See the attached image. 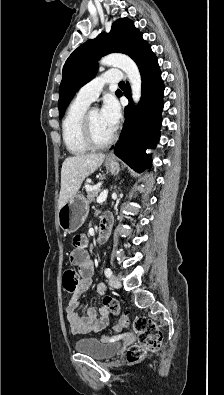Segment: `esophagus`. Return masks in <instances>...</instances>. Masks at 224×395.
<instances>
[{
  "mask_svg": "<svg viewBox=\"0 0 224 395\" xmlns=\"http://www.w3.org/2000/svg\"><path fill=\"white\" fill-rule=\"evenodd\" d=\"M113 158H114V156L111 153L107 156V159H113Z\"/></svg>",
  "mask_w": 224,
  "mask_h": 395,
  "instance_id": "34e87169",
  "label": "esophagus"
}]
</instances>
